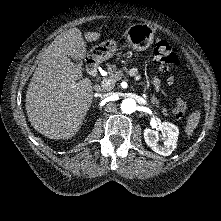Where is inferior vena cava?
<instances>
[{
	"instance_id": "1",
	"label": "inferior vena cava",
	"mask_w": 221,
	"mask_h": 221,
	"mask_svg": "<svg viewBox=\"0 0 221 221\" xmlns=\"http://www.w3.org/2000/svg\"><path fill=\"white\" fill-rule=\"evenodd\" d=\"M104 97H106L107 96V94H105V95H103Z\"/></svg>"
}]
</instances>
